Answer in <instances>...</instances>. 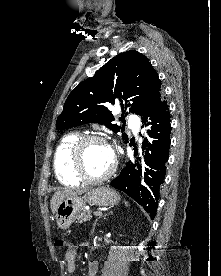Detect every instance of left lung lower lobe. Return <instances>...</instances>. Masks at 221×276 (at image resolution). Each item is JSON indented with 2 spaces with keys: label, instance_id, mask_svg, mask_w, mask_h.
<instances>
[{
  "label": "left lung lower lobe",
  "instance_id": "left-lung-lower-lobe-1",
  "mask_svg": "<svg viewBox=\"0 0 221 276\" xmlns=\"http://www.w3.org/2000/svg\"><path fill=\"white\" fill-rule=\"evenodd\" d=\"M143 119L151 120L147 124L152 125L149 130L151 142L147 143V140L144 142V146L148 147L144 155L145 160L142 165L138 160L135 163L127 162L120 175L111 181V186L133 198L153 219L157 211L160 186L165 176L171 142L167 101L162 98Z\"/></svg>",
  "mask_w": 221,
  "mask_h": 276
}]
</instances>
